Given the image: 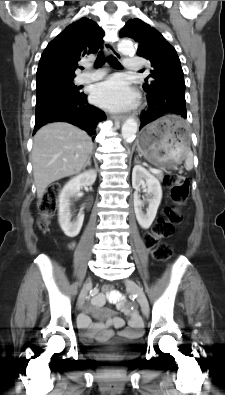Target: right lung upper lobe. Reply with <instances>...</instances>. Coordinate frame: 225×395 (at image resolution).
Listing matches in <instances>:
<instances>
[{
	"label": "right lung upper lobe",
	"instance_id": "obj_1",
	"mask_svg": "<svg viewBox=\"0 0 225 395\" xmlns=\"http://www.w3.org/2000/svg\"><path fill=\"white\" fill-rule=\"evenodd\" d=\"M103 30L88 18L70 24L52 40L41 55L37 69V86L73 80L77 62L103 47Z\"/></svg>",
	"mask_w": 225,
	"mask_h": 395
}]
</instances>
